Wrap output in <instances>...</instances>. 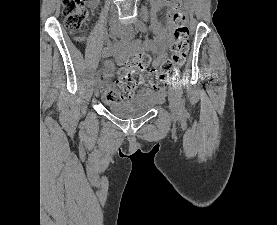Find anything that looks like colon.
<instances>
[{"mask_svg": "<svg viewBox=\"0 0 277 225\" xmlns=\"http://www.w3.org/2000/svg\"><path fill=\"white\" fill-rule=\"evenodd\" d=\"M182 0H175L172 21L174 40L171 44V57L162 63L159 70H150L151 57L147 53H133L124 57V64L118 71L114 84L105 90L104 97L108 103H117L130 99L141 83L142 77L149 72L152 84L161 88L178 76L189 51V29L187 17L182 10ZM64 23L70 30L80 29L86 21L85 0H62Z\"/></svg>", "mask_w": 277, "mask_h": 225, "instance_id": "colon-1", "label": "colon"}]
</instances>
